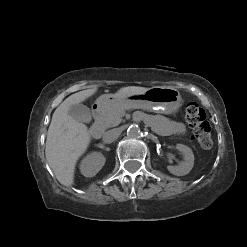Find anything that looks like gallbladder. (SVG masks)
Masks as SVG:
<instances>
[{
  "label": "gallbladder",
  "mask_w": 247,
  "mask_h": 247,
  "mask_svg": "<svg viewBox=\"0 0 247 247\" xmlns=\"http://www.w3.org/2000/svg\"><path fill=\"white\" fill-rule=\"evenodd\" d=\"M68 114L76 121L89 123L91 121V111L83 104L70 106Z\"/></svg>",
  "instance_id": "obj_1"
}]
</instances>
